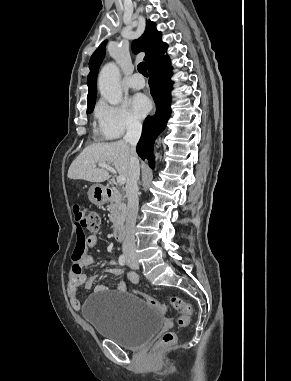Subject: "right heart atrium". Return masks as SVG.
Returning a JSON list of instances; mask_svg holds the SVG:
<instances>
[{"instance_id":"1","label":"right heart atrium","mask_w":291,"mask_h":381,"mask_svg":"<svg viewBox=\"0 0 291 381\" xmlns=\"http://www.w3.org/2000/svg\"><path fill=\"white\" fill-rule=\"evenodd\" d=\"M95 116L101 134L107 139H117L125 133L140 130L141 121L125 103L111 104L101 100L96 107Z\"/></svg>"}]
</instances>
